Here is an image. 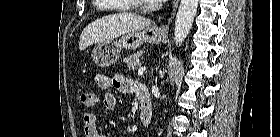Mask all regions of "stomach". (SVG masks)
<instances>
[{
  "label": "stomach",
  "mask_w": 280,
  "mask_h": 137,
  "mask_svg": "<svg viewBox=\"0 0 280 137\" xmlns=\"http://www.w3.org/2000/svg\"><path fill=\"white\" fill-rule=\"evenodd\" d=\"M163 37L159 28L152 24L140 31L122 35L119 40L98 43L93 49L92 57L98 66L108 67L118 61L122 48L136 49L143 43L158 44Z\"/></svg>",
  "instance_id": "1"
}]
</instances>
